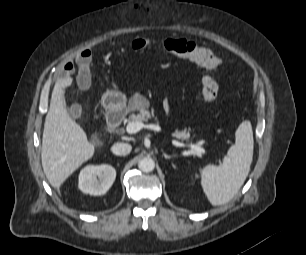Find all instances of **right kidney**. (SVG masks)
I'll list each match as a JSON object with an SVG mask.
<instances>
[{
    "label": "right kidney",
    "mask_w": 306,
    "mask_h": 255,
    "mask_svg": "<svg viewBox=\"0 0 306 255\" xmlns=\"http://www.w3.org/2000/svg\"><path fill=\"white\" fill-rule=\"evenodd\" d=\"M116 170L107 164L88 165L79 174V189L90 195H103L112 186Z\"/></svg>",
    "instance_id": "1"
}]
</instances>
